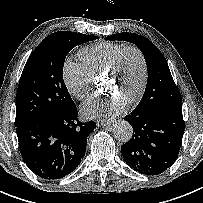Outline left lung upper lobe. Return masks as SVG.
I'll return each mask as SVG.
<instances>
[{
  "label": "left lung upper lobe",
  "instance_id": "left-lung-upper-lobe-1",
  "mask_svg": "<svg viewBox=\"0 0 203 203\" xmlns=\"http://www.w3.org/2000/svg\"><path fill=\"white\" fill-rule=\"evenodd\" d=\"M108 40H124L135 44L143 53L148 80L144 95L135 108L144 113H155L170 109L182 110L180 92L174 83L167 61L160 50L146 37L134 33H117Z\"/></svg>",
  "mask_w": 203,
  "mask_h": 203
}]
</instances>
